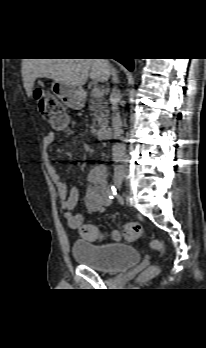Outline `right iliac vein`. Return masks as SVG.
<instances>
[{
	"instance_id": "obj_1",
	"label": "right iliac vein",
	"mask_w": 206,
	"mask_h": 348,
	"mask_svg": "<svg viewBox=\"0 0 206 348\" xmlns=\"http://www.w3.org/2000/svg\"><path fill=\"white\" fill-rule=\"evenodd\" d=\"M114 182L115 185L120 188L123 182V178L121 176H116Z\"/></svg>"
}]
</instances>
